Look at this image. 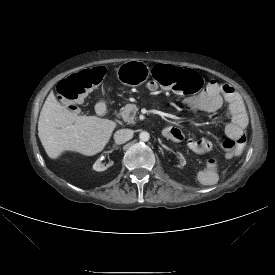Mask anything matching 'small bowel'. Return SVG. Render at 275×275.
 I'll use <instances>...</instances> for the list:
<instances>
[{"instance_id":"obj_1","label":"small bowel","mask_w":275,"mask_h":275,"mask_svg":"<svg viewBox=\"0 0 275 275\" xmlns=\"http://www.w3.org/2000/svg\"><path fill=\"white\" fill-rule=\"evenodd\" d=\"M224 101L228 105L227 116L229 118V122L225 126V133L229 138L238 139L245 134L248 117L243 102L233 87L221 85L212 80L202 93L190 97L186 103L196 111L213 113L220 109ZM163 135L175 142L184 140L182 131L174 127L166 128ZM186 147L189 152L201 157L210 155L213 150L211 141L198 135L189 137ZM220 172L219 160L209 157L204 160L202 168L198 170L196 179L202 186L211 188L218 184Z\"/></svg>"}]
</instances>
